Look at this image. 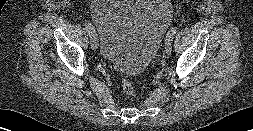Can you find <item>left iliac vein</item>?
<instances>
[{"label":"left iliac vein","instance_id":"4c4485c4","mask_svg":"<svg viewBox=\"0 0 253 131\" xmlns=\"http://www.w3.org/2000/svg\"><path fill=\"white\" fill-rule=\"evenodd\" d=\"M172 37H166L165 40V53L170 54L172 51Z\"/></svg>","mask_w":253,"mask_h":131}]
</instances>
